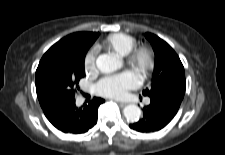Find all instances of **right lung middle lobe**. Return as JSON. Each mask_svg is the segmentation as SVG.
<instances>
[{
    "label": "right lung middle lobe",
    "mask_w": 225,
    "mask_h": 155,
    "mask_svg": "<svg viewBox=\"0 0 225 155\" xmlns=\"http://www.w3.org/2000/svg\"><path fill=\"white\" fill-rule=\"evenodd\" d=\"M86 51L53 53L41 60L36 71V84L50 99H73L79 80L84 77Z\"/></svg>",
    "instance_id": "obj_1"
}]
</instances>
